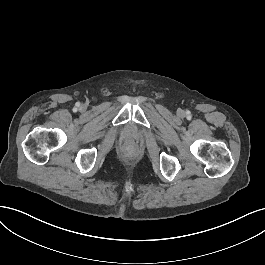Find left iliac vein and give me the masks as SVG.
Returning a JSON list of instances; mask_svg holds the SVG:
<instances>
[{
    "instance_id": "left-iliac-vein-1",
    "label": "left iliac vein",
    "mask_w": 265,
    "mask_h": 265,
    "mask_svg": "<svg viewBox=\"0 0 265 265\" xmlns=\"http://www.w3.org/2000/svg\"><path fill=\"white\" fill-rule=\"evenodd\" d=\"M184 114V111L183 110H180L179 111V115H183Z\"/></svg>"
}]
</instances>
